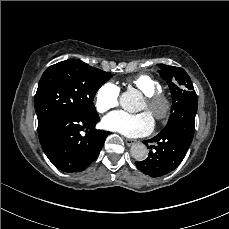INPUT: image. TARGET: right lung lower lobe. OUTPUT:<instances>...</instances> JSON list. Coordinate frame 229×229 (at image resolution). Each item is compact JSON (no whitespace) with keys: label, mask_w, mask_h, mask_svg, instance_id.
<instances>
[{"label":"right lung lower lobe","mask_w":229,"mask_h":229,"mask_svg":"<svg viewBox=\"0 0 229 229\" xmlns=\"http://www.w3.org/2000/svg\"><path fill=\"white\" fill-rule=\"evenodd\" d=\"M99 117L86 119L72 114L55 118L39 135L51 163L65 172L83 171L99 155L110 132L96 130Z\"/></svg>","instance_id":"1"}]
</instances>
